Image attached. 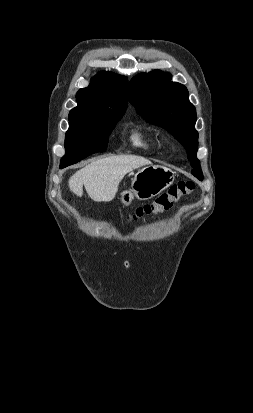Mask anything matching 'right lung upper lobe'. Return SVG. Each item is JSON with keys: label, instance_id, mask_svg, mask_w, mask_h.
I'll return each mask as SVG.
<instances>
[{"label": "right lung upper lobe", "instance_id": "1", "mask_svg": "<svg viewBox=\"0 0 253 413\" xmlns=\"http://www.w3.org/2000/svg\"><path fill=\"white\" fill-rule=\"evenodd\" d=\"M127 84L124 76L110 72L98 74L88 87L77 92L78 106L70 111L69 122L124 114L128 104Z\"/></svg>", "mask_w": 253, "mask_h": 413}]
</instances>
